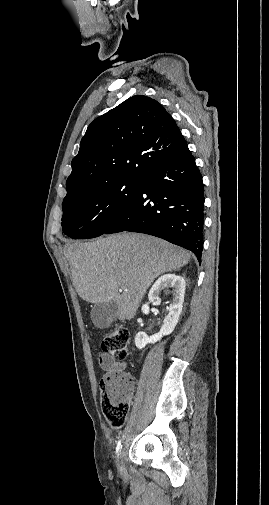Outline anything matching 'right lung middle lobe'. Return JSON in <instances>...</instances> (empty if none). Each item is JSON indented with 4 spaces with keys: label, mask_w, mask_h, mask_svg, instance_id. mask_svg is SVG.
<instances>
[{
    "label": "right lung middle lobe",
    "mask_w": 269,
    "mask_h": 505,
    "mask_svg": "<svg viewBox=\"0 0 269 505\" xmlns=\"http://www.w3.org/2000/svg\"><path fill=\"white\" fill-rule=\"evenodd\" d=\"M139 180H118L91 187L63 201L62 228L74 239L104 234L123 214Z\"/></svg>",
    "instance_id": "dd1d6c3e"
}]
</instances>
